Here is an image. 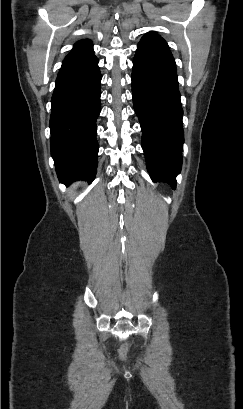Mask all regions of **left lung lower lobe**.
<instances>
[{"mask_svg":"<svg viewBox=\"0 0 243 409\" xmlns=\"http://www.w3.org/2000/svg\"><path fill=\"white\" fill-rule=\"evenodd\" d=\"M131 79L149 175L175 188L182 165L183 110L175 60L164 39L138 44Z\"/></svg>","mask_w":243,"mask_h":409,"instance_id":"obj_1","label":"left lung lower lobe"}]
</instances>
